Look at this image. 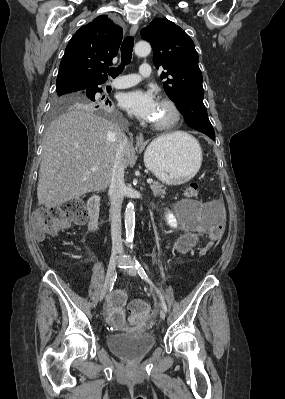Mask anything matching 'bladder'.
<instances>
[{
  "label": "bladder",
  "mask_w": 285,
  "mask_h": 399,
  "mask_svg": "<svg viewBox=\"0 0 285 399\" xmlns=\"http://www.w3.org/2000/svg\"><path fill=\"white\" fill-rule=\"evenodd\" d=\"M193 203L195 202L190 200H180L177 202V208L182 213ZM107 341L109 349L125 360H136L148 355L156 343L154 335L148 332L112 333Z\"/></svg>",
  "instance_id": "31cf9c89"
}]
</instances>
